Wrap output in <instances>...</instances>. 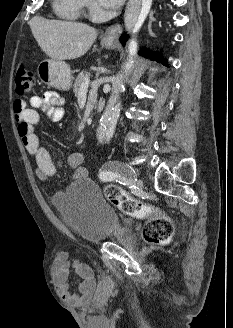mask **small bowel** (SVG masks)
<instances>
[{
    "label": "small bowel",
    "mask_w": 233,
    "mask_h": 328,
    "mask_svg": "<svg viewBox=\"0 0 233 328\" xmlns=\"http://www.w3.org/2000/svg\"><path fill=\"white\" fill-rule=\"evenodd\" d=\"M63 101V98L56 92L48 91L42 96L30 97L28 102L17 99L13 104L18 134L27 152L35 159V175L40 181H47L52 178L59 165L52 160L49 152L40 144L35 133V127L39 123L37 110L41 109L53 121H59L64 115L61 107ZM68 161L74 169V179H84L88 176L83 154L74 153ZM70 267H73L81 278L78 293L72 292L68 285ZM52 269L56 291L64 301L81 304L92 298L96 290V280L89 265L79 260L70 259L67 253L61 252L55 257Z\"/></svg>",
    "instance_id": "small-bowel-1"
}]
</instances>
